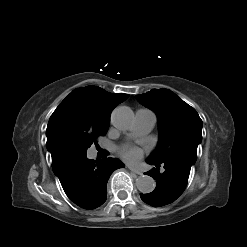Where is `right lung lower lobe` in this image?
Masks as SVG:
<instances>
[{"mask_svg":"<svg viewBox=\"0 0 247 247\" xmlns=\"http://www.w3.org/2000/svg\"><path fill=\"white\" fill-rule=\"evenodd\" d=\"M124 164L115 158L90 160L86 156L58 155L52 159V169L61 185L76 205L95 209L106 200V186L111 173Z\"/></svg>","mask_w":247,"mask_h":247,"instance_id":"1","label":"right lung lower lobe"}]
</instances>
